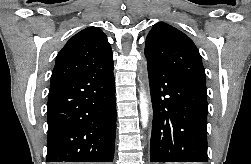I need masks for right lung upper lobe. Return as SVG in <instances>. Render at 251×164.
Listing matches in <instances>:
<instances>
[{"instance_id":"1","label":"right lung upper lobe","mask_w":251,"mask_h":164,"mask_svg":"<svg viewBox=\"0 0 251 164\" xmlns=\"http://www.w3.org/2000/svg\"><path fill=\"white\" fill-rule=\"evenodd\" d=\"M111 65L112 49L106 35L97 27H87L70 38L59 52L50 86Z\"/></svg>"}]
</instances>
